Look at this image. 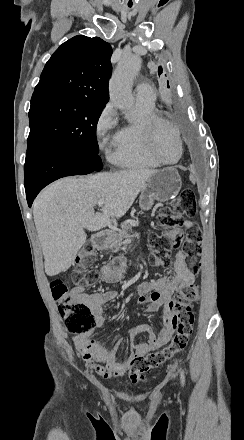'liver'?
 <instances>
[{"instance_id": "liver-1", "label": "liver", "mask_w": 244, "mask_h": 440, "mask_svg": "<svg viewBox=\"0 0 244 440\" xmlns=\"http://www.w3.org/2000/svg\"><path fill=\"white\" fill-rule=\"evenodd\" d=\"M150 168L100 172L94 176L61 178L40 192L33 204V218L44 256L47 276H57L74 262L89 232L109 226L131 208L147 180ZM104 198L101 212L94 206Z\"/></svg>"}]
</instances>
